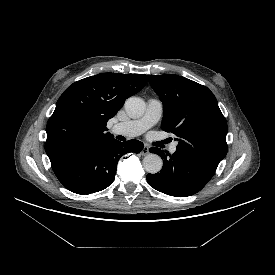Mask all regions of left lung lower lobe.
Segmentation results:
<instances>
[{
    "instance_id": "obj_1",
    "label": "left lung lower lobe",
    "mask_w": 275,
    "mask_h": 275,
    "mask_svg": "<svg viewBox=\"0 0 275 275\" xmlns=\"http://www.w3.org/2000/svg\"><path fill=\"white\" fill-rule=\"evenodd\" d=\"M160 155V173L148 174L147 181L154 189L175 197H187L200 191L215 174L216 168L189 154L176 151L170 155L160 148L149 150Z\"/></svg>"
}]
</instances>
